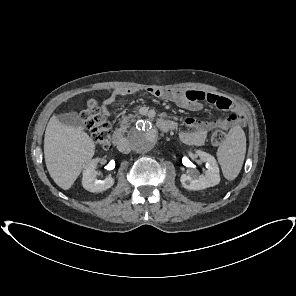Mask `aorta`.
<instances>
[{
  "label": "aorta",
  "mask_w": 296,
  "mask_h": 296,
  "mask_svg": "<svg viewBox=\"0 0 296 296\" xmlns=\"http://www.w3.org/2000/svg\"><path fill=\"white\" fill-rule=\"evenodd\" d=\"M128 140L131 148L139 153H146L154 149L160 142L159 131L146 120H140L130 130Z\"/></svg>",
  "instance_id": "aorta-1"
}]
</instances>
